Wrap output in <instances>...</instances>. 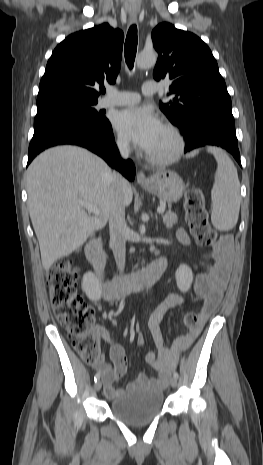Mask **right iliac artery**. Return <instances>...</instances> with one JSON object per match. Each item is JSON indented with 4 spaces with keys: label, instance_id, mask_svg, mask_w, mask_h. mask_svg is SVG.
Returning a JSON list of instances; mask_svg holds the SVG:
<instances>
[{
    "label": "right iliac artery",
    "instance_id": "obj_1",
    "mask_svg": "<svg viewBox=\"0 0 263 465\" xmlns=\"http://www.w3.org/2000/svg\"><path fill=\"white\" fill-rule=\"evenodd\" d=\"M99 378H100V373L97 372V373L95 374V376H94V381L97 382V381L99 380Z\"/></svg>",
    "mask_w": 263,
    "mask_h": 465
}]
</instances>
